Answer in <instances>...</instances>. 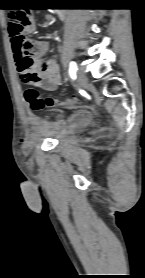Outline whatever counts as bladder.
I'll list each match as a JSON object with an SVG mask.
<instances>
[{"instance_id":"bladder-1","label":"bladder","mask_w":145,"mask_h":278,"mask_svg":"<svg viewBox=\"0 0 145 278\" xmlns=\"http://www.w3.org/2000/svg\"><path fill=\"white\" fill-rule=\"evenodd\" d=\"M91 119V115L86 111L74 112L63 123L62 128L48 131L47 134L51 135L53 140L58 144L64 143L73 133L89 126Z\"/></svg>"}]
</instances>
